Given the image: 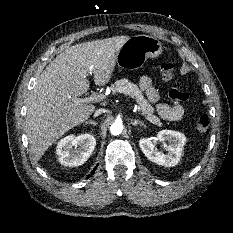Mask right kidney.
Here are the masks:
<instances>
[{
  "mask_svg": "<svg viewBox=\"0 0 233 233\" xmlns=\"http://www.w3.org/2000/svg\"><path fill=\"white\" fill-rule=\"evenodd\" d=\"M96 146V139L91 134L69 135L57 144L56 153L64 166L74 167L84 164Z\"/></svg>",
  "mask_w": 233,
  "mask_h": 233,
  "instance_id": "1",
  "label": "right kidney"
}]
</instances>
